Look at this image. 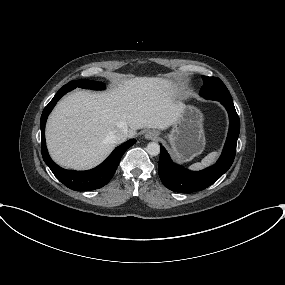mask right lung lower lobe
I'll return each instance as SVG.
<instances>
[{"mask_svg": "<svg viewBox=\"0 0 285 285\" xmlns=\"http://www.w3.org/2000/svg\"><path fill=\"white\" fill-rule=\"evenodd\" d=\"M72 90L70 87H62L50 101V103L44 108L40 120L41 128V152L42 157L53 174L60 180L65 186L75 191H89L95 190L106 185L113 177L121 157L125 151L132 146L136 140L131 139L119 147L110 154V156L99 166L88 171H73L65 170L58 166L50 158L46 143H45V123L47 117L57 101L68 91Z\"/></svg>", "mask_w": 285, "mask_h": 285, "instance_id": "right-lung-lower-lobe-1", "label": "right lung lower lobe"}]
</instances>
